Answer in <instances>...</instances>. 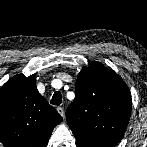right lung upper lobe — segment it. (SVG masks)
Returning a JSON list of instances; mask_svg holds the SVG:
<instances>
[{
    "mask_svg": "<svg viewBox=\"0 0 147 147\" xmlns=\"http://www.w3.org/2000/svg\"><path fill=\"white\" fill-rule=\"evenodd\" d=\"M59 113L36 88V75H16L0 89V142L5 147H46Z\"/></svg>",
    "mask_w": 147,
    "mask_h": 147,
    "instance_id": "1",
    "label": "right lung upper lobe"
}]
</instances>
